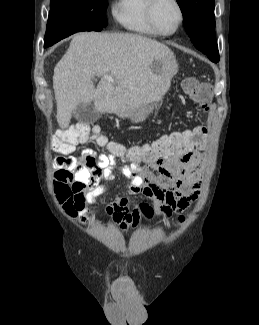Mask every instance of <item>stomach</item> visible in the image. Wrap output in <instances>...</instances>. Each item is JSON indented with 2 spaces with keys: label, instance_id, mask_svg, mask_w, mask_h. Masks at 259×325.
Instances as JSON below:
<instances>
[{
  "label": "stomach",
  "instance_id": "stomach-1",
  "mask_svg": "<svg viewBox=\"0 0 259 325\" xmlns=\"http://www.w3.org/2000/svg\"><path fill=\"white\" fill-rule=\"evenodd\" d=\"M160 106L158 101L145 103L137 108L118 110L115 112L118 116L122 118H129L132 122L139 123L144 121L154 109Z\"/></svg>",
  "mask_w": 259,
  "mask_h": 325
}]
</instances>
